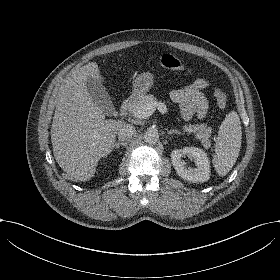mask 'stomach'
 I'll list each match as a JSON object with an SVG mask.
<instances>
[{"label": "stomach", "mask_w": 280, "mask_h": 280, "mask_svg": "<svg viewBox=\"0 0 280 280\" xmlns=\"http://www.w3.org/2000/svg\"><path fill=\"white\" fill-rule=\"evenodd\" d=\"M152 85V77L150 74L145 73L141 74L134 82V91L131 99H137L139 96L146 93V91L151 87Z\"/></svg>", "instance_id": "stomach-1"}]
</instances>
